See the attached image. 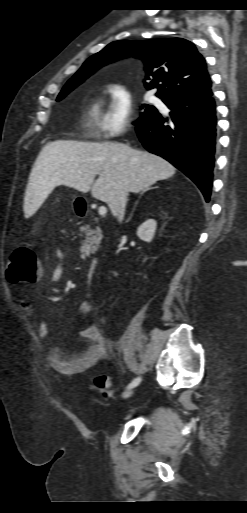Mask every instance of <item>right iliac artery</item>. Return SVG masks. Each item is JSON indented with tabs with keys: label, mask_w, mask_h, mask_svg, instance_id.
Wrapping results in <instances>:
<instances>
[{
	"label": "right iliac artery",
	"mask_w": 247,
	"mask_h": 513,
	"mask_svg": "<svg viewBox=\"0 0 247 513\" xmlns=\"http://www.w3.org/2000/svg\"><path fill=\"white\" fill-rule=\"evenodd\" d=\"M141 381V378L138 377L136 379H134L129 385H128V388H133L135 386H137Z\"/></svg>",
	"instance_id": "82829eb1"
}]
</instances>
